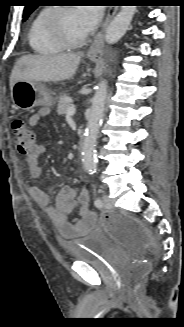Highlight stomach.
I'll list each match as a JSON object with an SVG mask.
<instances>
[{
	"instance_id": "stomach-1",
	"label": "stomach",
	"mask_w": 184,
	"mask_h": 327,
	"mask_svg": "<svg viewBox=\"0 0 184 327\" xmlns=\"http://www.w3.org/2000/svg\"><path fill=\"white\" fill-rule=\"evenodd\" d=\"M90 60L95 61L96 55H89ZM13 106L16 109L30 110L36 106L51 107L55 99L50 91L40 82L17 81L11 90Z\"/></svg>"
}]
</instances>
